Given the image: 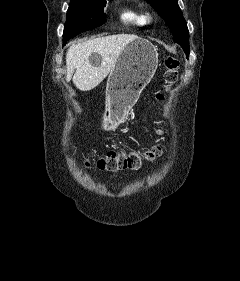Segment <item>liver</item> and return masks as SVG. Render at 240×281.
Here are the masks:
<instances>
[{"label": "liver", "instance_id": "liver-1", "mask_svg": "<svg viewBox=\"0 0 240 281\" xmlns=\"http://www.w3.org/2000/svg\"><path fill=\"white\" fill-rule=\"evenodd\" d=\"M134 34H117L98 37L77 44H72L66 54V81L72 79L81 91H90L97 87L114 69L123 49L137 39ZM101 57L99 65H93L90 57Z\"/></svg>", "mask_w": 240, "mask_h": 281}]
</instances>
